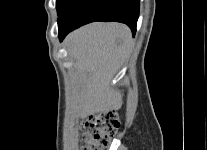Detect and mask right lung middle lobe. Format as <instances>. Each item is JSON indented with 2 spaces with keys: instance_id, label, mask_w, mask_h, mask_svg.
<instances>
[{
  "instance_id": "1",
  "label": "right lung middle lobe",
  "mask_w": 207,
  "mask_h": 150,
  "mask_svg": "<svg viewBox=\"0 0 207 150\" xmlns=\"http://www.w3.org/2000/svg\"><path fill=\"white\" fill-rule=\"evenodd\" d=\"M71 2V0H56V8L58 15L63 11V9Z\"/></svg>"
}]
</instances>
